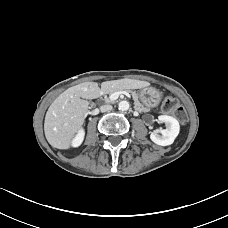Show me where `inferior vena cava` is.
<instances>
[{"mask_svg":"<svg viewBox=\"0 0 228 228\" xmlns=\"http://www.w3.org/2000/svg\"><path fill=\"white\" fill-rule=\"evenodd\" d=\"M110 110H112V106L109 105V104L102 105V106L100 107V111H101V112H108V111H110Z\"/></svg>","mask_w":228,"mask_h":228,"instance_id":"602c4592","label":"inferior vena cava"}]
</instances>
